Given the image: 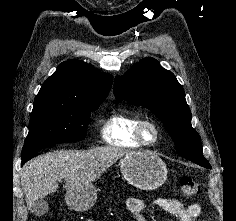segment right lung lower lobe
Instances as JSON below:
<instances>
[{
  "label": "right lung lower lobe",
  "mask_w": 236,
  "mask_h": 221,
  "mask_svg": "<svg viewBox=\"0 0 236 221\" xmlns=\"http://www.w3.org/2000/svg\"><path fill=\"white\" fill-rule=\"evenodd\" d=\"M38 153L34 152L25 156H22V161H21V165H23L25 162H27L28 160H30L31 158L35 157Z\"/></svg>",
  "instance_id": "98d812e1"
}]
</instances>
